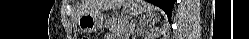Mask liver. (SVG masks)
I'll use <instances>...</instances> for the list:
<instances>
[{
    "label": "liver",
    "mask_w": 249,
    "mask_h": 39,
    "mask_svg": "<svg viewBox=\"0 0 249 39\" xmlns=\"http://www.w3.org/2000/svg\"><path fill=\"white\" fill-rule=\"evenodd\" d=\"M124 0H83L79 7L77 18L94 10H109L119 8Z\"/></svg>",
    "instance_id": "1"
}]
</instances>
